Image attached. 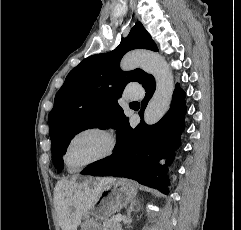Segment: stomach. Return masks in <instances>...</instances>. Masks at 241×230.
I'll return each instance as SVG.
<instances>
[{"label":"stomach","mask_w":241,"mask_h":230,"mask_svg":"<svg viewBox=\"0 0 241 230\" xmlns=\"http://www.w3.org/2000/svg\"><path fill=\"white\" fill-rule=\"evenodd\" d=\"M136 193V187L128 180L122 179L105 184L95 205L85 214L80 230H105L102 222L131 202Z\"/></svg>","instance_id":"obj_1"}]
</instances>
